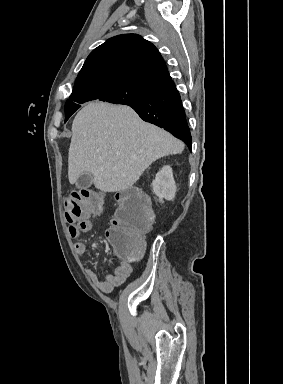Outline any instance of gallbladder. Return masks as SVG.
Here are the masks:
<instances>
[{
  "mask_svg": "<svg viewBox=\"0 0 283 384\" xmlns=\"http://www.w3.org/2000/svg\"><path fill=\"white\" fill-rule=\"evenodd\" d=\"M92 184V176L91 174H83V176H80L76 182V186H87V188H90Z\"/></svg>",
  "mask_w": 283,
  "mask_h": 384,
  "instance_id": "1",
  "label": "gallbladder"
}]
</instances>
